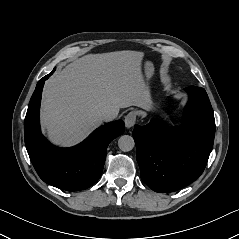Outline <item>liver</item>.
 <instances>
[{"label": "liver", "instance_id": "6515ba94", "mask_svg": "<svg viewBox=\"0 0 239 239\" xmlns=\"http://www.w3.org/2000/svg\"><path fill=\"white\" fill-rule=\"evenodd\" d=\"M144 54L117 51L83 56L45 84L41 123L49 139L72 146L101 125L99 114L120 108L149 106V87L141 64Z\"/></svg>", "mask_w": 239, "mask_h": 239}]
</instances>
